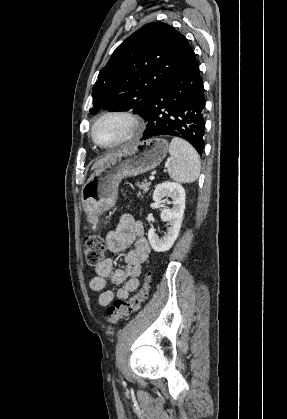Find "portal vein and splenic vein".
I'll use <instances>...</instances> for the list:
<instances>
[{"mask_svg": "<svg viewBox=\"0 0 287 419\" xmlns=\"http://www.w3.org/2000/svg\"><path fill=\"white\" fill-rule=\"evenodd\" d=\"M154 175H151L150 177H149V180H154Z\"/></svg>", "mask_w": 287, "mask_h": 419, "instance_id": "portal-vein-and-splenic-vein-1", "label": "portal vein and splenic vein"}]
</instances>
